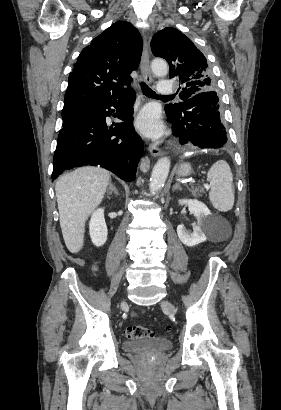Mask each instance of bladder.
<instances>
[{
	"label": "bladder",
	"instance_id": "1",
	"mask_svg": "<svg viewBox=\"0 0 281 410\" xmlns=\"http://www.w3.org/2000/svg\"><path fill=\"white\" fill-rule=\"evenodd\" d=\"M123 348L129 353L159 354L169 351L172 343L164 339H129L124 342Z\"/></svg>",
	"mask_w": 281,
	"mask_h": 410
}]
</instances>
